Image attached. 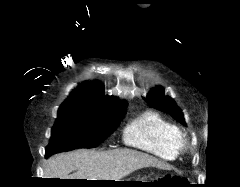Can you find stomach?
I'll return each mask as SVG.
<instances>
[{"label": "stomach", "instance_id": "0dacf381", "mask_svg": "<svg viewBox=\"0 0 240 187\" xmlns=\"http://www.w3.org/2000/svg\"><path fill=\"white\" fill-rule=\"evenodd\" d=\"M119 181H132V180H119ZM134 182H149V181H133V182H117L114 183V186L118 187H146L149 186L145 183H134Z\"/></svg>", "mask_w": 240, "mask_h": 187}]
</instances>
